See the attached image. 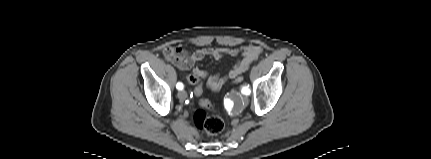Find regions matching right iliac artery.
Instances as JSON below:
<instances>
[{
    "instance_id": "obj_1",
    "label": "right iliac artery",
    "mask_w": 431,
    "mask_h": 159,
    "mask_svg": "<svg viewBox=\"0 0 431 159\" xmlns=\"http://www.w3.org/2000/svg\"><path fill=\"white\" fill-rule=\"evenodd\" d=\"M176 88L178 90H182L184 88L183 84L181 82L177 83Z\"/></svg>"
}]
</instances>
